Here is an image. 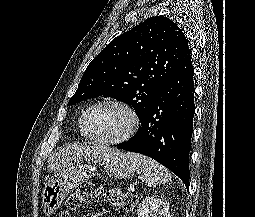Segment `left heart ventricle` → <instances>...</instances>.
<instances>
[{
  "label": "left heart ventricle",
  "instance_id": "b2bd125f",
  "mask_svg": "<svg viewBox=\"0 0 255 217\" xmlns=\"http://www.w3.org/2000/svg\"><path fill=\"white\" fill-rule=\"evenodd\" d=\"M129 121V116L123 109L113 105H102L89 113L87 124L93 134L105 139H114L126 131Z\"/></svg>",
  "mask_w": 255,
  "mask_h": 217
}]
</instances>
